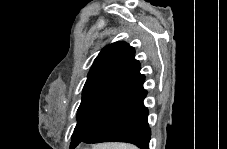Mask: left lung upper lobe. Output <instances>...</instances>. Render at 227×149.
Segmentation results:
<instances>
[{
    "label": "left lung upper lobe",
    "instance_id": "obj_1",
    "mask_svg": "<svg viewBox=\"0 0 227 149\" xmlns=\"http://www.w3.org/2000/svg\"><path fill=\"white\" fill-rule=\"evenodd\" d=\"M139 66L134 48L125 42H115L101 50L83 88L71 148L82 143L110 111L133 80Z\"/></svg>",
    "mask_w": 227,
    "mask_h": 149
}]
</instances>
